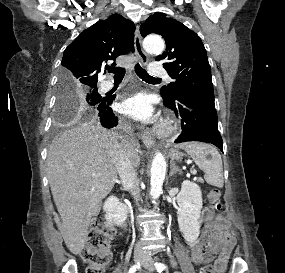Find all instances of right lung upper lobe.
Masks as SVG:
<instances>
[{
	"instance_id": "1",
	"label": "right lung upper lobe",
	"mask_w": 285,
	"mask_h": 273,
	"mask_svg": "<svg viewBox=\"0 0 285 273\" xmlns=\"http://www.w3.org/2000/svg\"><path fill=\"white\" fill-rule=\"evenodd\" d=\"M135 26L119 14L84 30L64 51L61 74L80 85H97L108 60L134 51ZM115 65V63H113Z\"/></svg>"
}]
</instances>
